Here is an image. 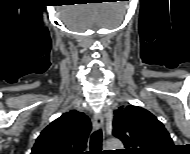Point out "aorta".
Segmentation results:
<instances>
[{
	"label": "aorta",
	"instance_id": "762f6f07",
	"mask_svg": "<svg viewBox=\"0 0 190 154\" xmlns=\"http://www.w3.org/2000/svg\"><path fill=\"white\" fill-rule=\"evenodd\" d=\"M123 144L119 139H109L105 143V149L106 150H116V149H122Z\"/></svg>",
	"mask_w": 190,
	"mask_h": 154
}]
</instances>
